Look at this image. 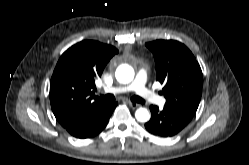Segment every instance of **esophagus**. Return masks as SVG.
<instances>
[{"mask_svg":"<svg viewBox=\"0 0 249 165\" xmlns=\"http://www.w3.org/2000/svg\"><path fill=\"white\" fill-rule=\"evenodd\" d=\"M128 104L133 109H136V108H138L140 106L138 103L131 102V101H128Z\"/></svg>","mask_w":249,"mask_h":165,"instance_id":"obj_1","label":"esophagus"}]
</instances>
